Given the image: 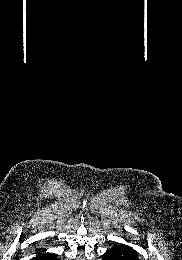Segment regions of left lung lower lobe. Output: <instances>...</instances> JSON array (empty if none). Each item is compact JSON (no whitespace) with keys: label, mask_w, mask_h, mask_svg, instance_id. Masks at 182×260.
Returning <instances> with one entry per match:
<instances>
[{"label":"left lung lower lobe","mask_w":182,"mask_h":260,"mask_svg":"<svg viewBox=\"0 0 182 260\" xmlns=\"http://www.w3.org/2000/svg\"><path fill=\"white\" fill-rule=\"evenodd\" d=\"M102 260H138L137 252L124 244L114 245L103 256Z\"/></svg>","instance_id":"0a47b994"}]
</instances>
